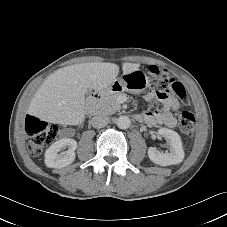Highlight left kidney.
Here are the masks:
<instances>
[{"mask_svg": "<svg viewBox=\"0 0 227 227\" xmlns=\"http://www.w3.org/2000/svg\"><path fill=\"white\" fill-rule=\"evenodd\" d=\"M158 134L167 140L170 146V152H162L157 150L155 147H150L148 149L149 159L160 166H169L181 163L184 159V150L179 134L167 128L159 129Z\"/></svg>", "mask_w": 227, "mask_h": 227, "instance_id": "5707ae66", "label": "left kidney"}]
</instances>
